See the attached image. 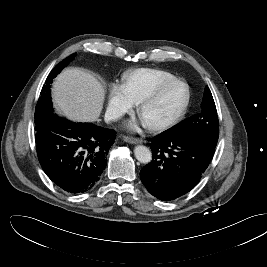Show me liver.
Listing matches in <instances>:
<instances>
[{
	"label": "liver",
	"mask_w": 267,
	"mask_h": 267,
	"mask_svg": "<svg viewBox=\"0 0 267 267\" xmlns=\"http://www.w3.org/2000/svg\"><path fill=\"white\" fill-rule=\"evenodd\" d=\"M52 96L64 116L75 121L94 122L103 109L105 89L90 73L72 68L57 76Z\"/></svg>",
	"instance_id": "1"
}]
</instances>
